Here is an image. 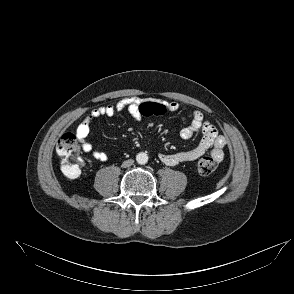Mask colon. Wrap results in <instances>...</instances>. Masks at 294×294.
Returning a JSON list of instances; mask_svg holds the SVG:
<instances>
[{
    "instance_id": "5ec220e1",
    "label": "colon",
    "mask_w": 294,
    "mask_h": 294,
    "mask_svg": "<svg viewBox=\"0 0 294 294\" xmlns=\"http://www.w3.org/2000/svg\"><path fill=\"white\" fill-rule=\"evenodd\" d=\"M133 113L151 117L163 115L166 111L160 104L146 101L141 103ZM56 152L61 159L62 173L68 178H76L80 174L81 169V142L77 136L72 133L64 134L57 143ZM216 169L217 161L213 157L206 156L198 162V172L202 176H209Z\"/></svg>"
}]
</instances>
